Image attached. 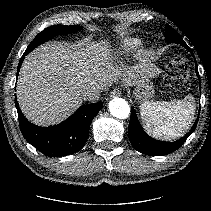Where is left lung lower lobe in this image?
Segmentation results:
<instances>
[{
	"label": "left lung lower lobe",
	"mask_w": 211,
	"mask_h": 211,
	"mask_svg": "<svg viewBox=\"0 0 211 211\" xmlns=\"http://www.w3.org/2000/svg\"><path fill=\"white\" fill-rule=\"evenodd\" d=\"M175 43H179L185 48H187L189 51H191L190 48L187 46V44L183 41V39L178 40ZM195 65H196V74L198 78L200 79L198 69H197V64ZM197 121H198V118L196 122L194 123L193 127L191 128L190 132L187 133L181 139L175 142L158 141L151 138L145 133V131L142 129L140 125V122L138 121L136 111L132 107L130 123H129V128H128V137L132 146L137 151L143 154L150 155V156L151 155H155V156L166 155L177 150L186 141L187 137L194 132L197 126Z\"/></svg>",
	"instance_id": "0a47b994"
}]
</instances>
